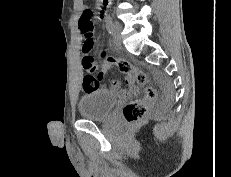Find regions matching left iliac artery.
Listing matches in <instances>:
<instances>
[{
	"mask_svg": "<svg viewBox=\"0 0 231 177\" xmlns=\"http://www.w3.org/2000/svg\"><path fill=\"white\" fill-rule=\"evenodd\" d=\"M105 23L107 30L110 32L112 27V18L108 13H105Z\"/></svg>",
	"mask_w": 231,
	"mask_h": 177,
	"instance_id": "44dca946",
	"label": "left iliac artery"
}]
</instances>
